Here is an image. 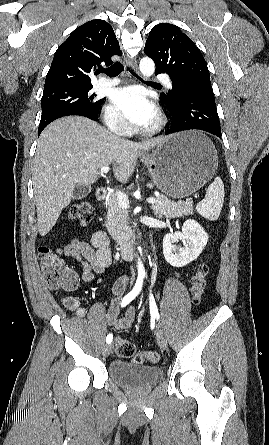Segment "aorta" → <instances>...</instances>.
I'll return each instance as SVG.
<instances>
[{"mask_svg":"<svg viewBox=\"0 0 269 445\" xmlns=\"http://www.w3.org/2000/svg\"><path fill=\"white\" fill-rule=\"evenodd\" d=\"M139 67L141 73L146 77H150L155 71V64L153 60L147 57L141 59ZM138 274L142 276L145 275V269L140 260L138 261Z\"/></svg>","mask_w":269,"mask_h":445,"instance_id":"obj_1","label":"aorta"}]
</instances>
